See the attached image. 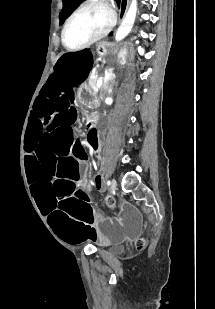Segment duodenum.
I'll return each instance as SVG.
<instances>
[{
    "label": "duodenum",
    "instance_id": "obj_1",
    "mask_svg": "<svg viewBox=\"0 0 215 309\" xmlns=\"http://www.w3.org/2000/svg\"><path fill=\"white\" fill-rule=\"evenodd\" d=\"M89 122L92 125L96 124L98 122V116L97 115L92 116Z\"/></svg>",
    "mask_w": 215,
    "mask_h": 309
}]
</instances>
